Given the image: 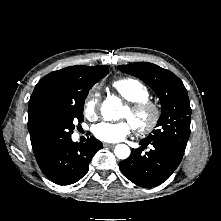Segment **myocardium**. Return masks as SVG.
I'll return each mask as SVG.
<instances>
[{
  "instance_id": "myocardium-1",
  "label": "myocardium",
  "mask_w": 221,
  "mask_h": 221,
  "mask_svg": "<svg viewBox=\"0 0 221 221\" xmlns=\"http://www.w3.org/2000/svg\"><path fill=\"white\" fill-rule=\"evenodd\" d=\"M132 125L140 135H147L154 131L158 126L161 118V108L153 100L147 98L138 102L131 103L126 106ZM145 117L146 120L142 123L137 119Z\"/></svg>"
}]
</instances>
